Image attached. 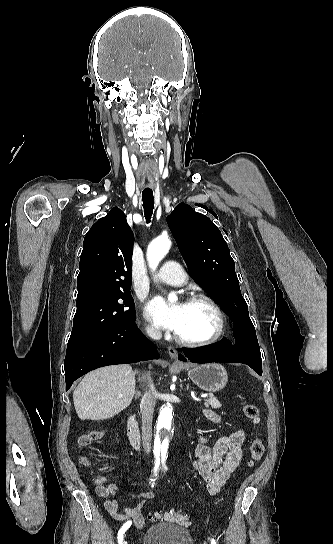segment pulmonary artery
Here are the masks:
<instances>
[{"mask_svg":"<svg viewBox=\"0 0 333 544\" xmlns=\"http://www.w3.org/2000/svg\"><path fill=\"white\" fill-rule=\"evenodd\" d=\"M157 277L170 285H182L187 280V275L182 266L175 261H167L159 270Z\"/></svg>","mask_w":333,"mask_h":544,"instance_id":"1","label":"pulmonary artery"}]
</instances>
